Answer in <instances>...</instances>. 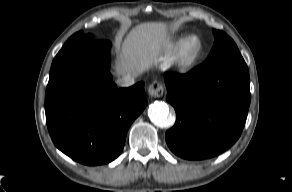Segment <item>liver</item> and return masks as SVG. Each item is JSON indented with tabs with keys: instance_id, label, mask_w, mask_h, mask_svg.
<instances>
[{
	"instance_id": "1",
	"label": "liver",
	"mask_w": 292,
	"mask_h": 192,
	"mask_svg": "<svg viewBox=\"0 0 292 192\" xmlns=\"http://www.w3.org/2000/svg\"><path fill=\"white\" fill-rule=\"evenodd\" d=\"M167 33L168 25L161 22H145L132 28L121 44L116 74H141L149 70L168 43Z\"/></svg>"
}]
</instances>
